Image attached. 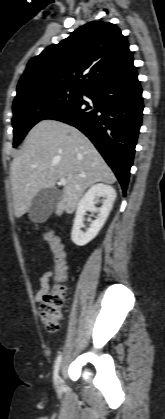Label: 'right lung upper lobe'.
Here are the masks:
<instances>
[{
	"instance_id": "right-lung-upper-lobe-1",
	"label": "right lung upper lobe",
	"mask_w": 165,
	"mask_h": 419,
	"mask_svg": "<svg viewBox=\"0 0 165 419\" xmlns=\"http://www.w3.org/2000/svg\"><path fill=\"white\" fill-rule=\"evenodd\" d=\"M132 63L120 29L109 22L92 21L29 61L15 100L52 88L87 91Z\"/></svg>"
}]
</instances>
